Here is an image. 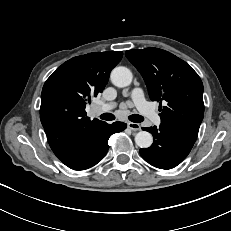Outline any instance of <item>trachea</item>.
<instances>
[{
	"label": "trachea",
	"instance_id": "1",
	"mask_svg": "<svg viewBox=\"0 0 231 231\" xmlns=\"http://www.w3.org/2000/svg\"><path fill=\"white\" fill-rule=\"evenodd\" d=\"M100 118L102 120L112 121L115 119V116L112 113H104V114L100 115ZM128 119L134 123H140V122L144 121V117H142L141 115H138V114H132L128 117Z\"/></svg>",
	"mask_w": 231,
	"mask_h": 231
}]
</instances>
